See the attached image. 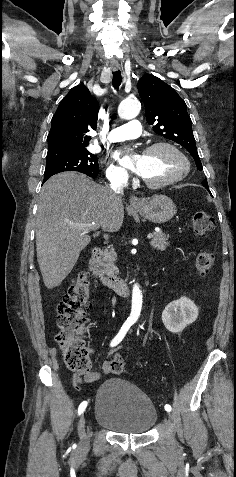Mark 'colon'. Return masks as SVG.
Here are the masks:
<instances>
[{"mask_svg": "<svg viewBox=\"0 0 236 477\" xmlns=\"http://www.w3.org/2000/svg\"><path fill=\"white\" fill-rule=\"evenodd\" d=\"M193 229L196 234L204 236L214 228L213 218L202 211H197L192 217ZM214 264V254L200 252L196 258V269L201 276H206ZM91 287L88 274L81 271L74 278L62 300L57 306V324L59 331L56 342L63 352V361L68 369L74 372H84L89 367V350L83 338L87 324V313L90 304ZM110 372L119 374L124 369V361L115 357L109 361Z\"/></svg>", "mask_w": 236, "mask_h": 477, "instance_id": "obj_1", "label": "colon"}]
</instances>
